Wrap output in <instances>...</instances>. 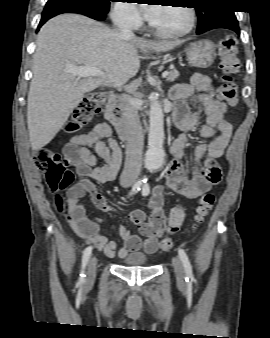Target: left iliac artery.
<instances>
[{
	"mask_svg": "<svg viewBox=\"0 0 270 338\" xmlns=\"http://www.w3.org/2000/svg\"><path fill=\"white\" fill-rule=\"evenodd\" d=\"M149 193H150L149 183L145 182V184L142 186V195L147 196ZM178 254L185 269L186 281H190V280L192 281L193 280L192 266H191V263L189 261V258L186 252L182 248H178Z\"/></svg>",
	"mask_w": 270,
	"mask_h": 338,
	"instance_id": "1",
	"label": "left iliac artery"
}]
</instances>
